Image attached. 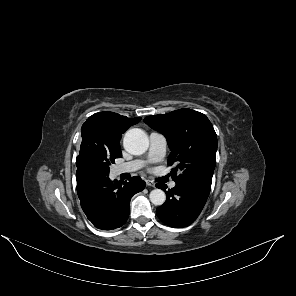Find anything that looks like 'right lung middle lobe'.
<instances>
[{"instance_id": "obj_1", "label": "right lung middle lobe", "mask_w": 296, "mask_h": 296, "mask_svg": "<svg viewBox=\"0 0 296 296\" xmlns=\"http://www.w3.org/2000/svg\"><path fill=\"white\" fill-rule=\"evenodd\" d=\"M79 156L91 159L103 173L108 175L110 164L122 154L119 147L82 140Z\"/></svg>"}]
</instances>
